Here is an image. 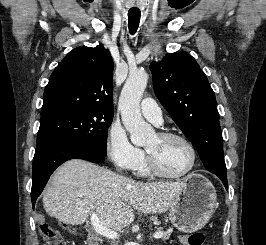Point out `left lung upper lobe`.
<instances>
[{
    "label": "left lung upper lobe",
    "mask_w": 266,
    "mask_h": 245,
    "mask_svg": "<svg viewBox=\"0 0 266 245\" xmlns=\"http://www.w3.org/2000/svg\"><path fill=\"white\" fill-rule=\"evenodd\" d=\"M150 70L158 99L196 147L205 168L226 176L215 94L195 59L178 51L152 62Z\"/></svg>",
    "instance_id": "obj_1"
}]
</instances>
